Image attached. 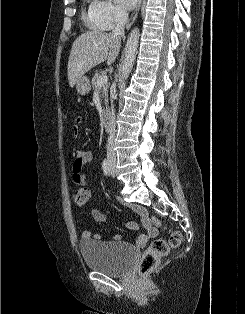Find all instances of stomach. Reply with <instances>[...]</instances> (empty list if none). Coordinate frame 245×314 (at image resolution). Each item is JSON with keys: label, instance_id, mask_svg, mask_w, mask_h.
I'll return each mask as SVG.
<instances>
[{"label": "stomach", "instance_id": "0dacf381", "mask_svg": "<svg viewBox=\"0 0 245 314\" xmlns=\"http://www.w3.org/2000/svg\"><path fill=\"white\" fill-rule=\"evenodd\" d=\"M91 89L89 80L87 77L82 76L77 82H76V90L78 94L80 95H86L89 93Z\"/></svg>", "mask_w": 245, "mask_h": 314}]
</instances>
